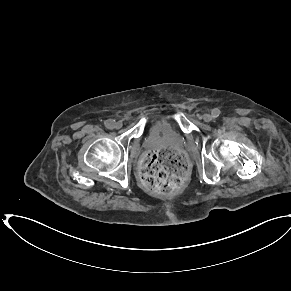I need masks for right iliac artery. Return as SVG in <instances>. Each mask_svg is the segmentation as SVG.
<instances>
[{
	"label": "right iliac artery",
	"instance_id": "obj_1",
	"mask_svg": "<svg viewBox=\"0 0 291 291\" xmlns=\"http://www.w3.org/2000/svg\"><path fill=\"white\" fill-rule=\"evenodd\" d=\"M114 120H107L105 122V126L108 128V129H113L114 128Z\"/></svg>",
	"mask_w": 291,
	"mask_h": 291
}]
</instances>
